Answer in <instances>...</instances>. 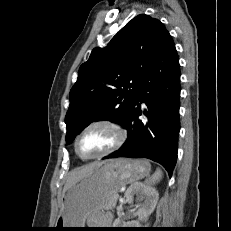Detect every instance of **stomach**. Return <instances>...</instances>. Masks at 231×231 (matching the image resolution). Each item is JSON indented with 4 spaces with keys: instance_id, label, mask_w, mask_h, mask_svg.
Segmentation results:
<instances>
[{
    "instance_id": "0dacf381",
    "label": "stomach",
    "mask_w": 231,
    "mask_h": 231,
    "mask_svg": "<svg viewBox=\"0 0 231 231\" xmlns=\"http://www.w3.org/2000/svg\"><path fill=\"white\" fill-rule=\"evenodd\" d=\"M150 163L145 159H112L71 185L63 195L62 209L55 227L85 228V222L93 212L107 209L110 199L126 184L148 176Z\"/></svg>"
}]
</instances>
